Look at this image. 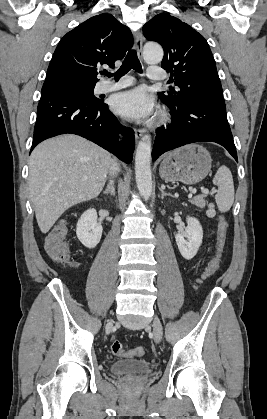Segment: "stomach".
<instances>
[{"label": "stomach", "mask_w": 267, "mask_h": 419, "mask_svg": "<svg viewBox=\"0 0 267 419\" xmlns=\"http://www.w3.org/2000/svg\"><path fill=\"white\" fill-rule=\"evenodd\" d=\"M211 163V155L205 147L189 144L167 154L160 164L159 173L166 182L196 184L207 176Z\"/></svg>", "instance_id": "obj_1"}]
</instances>
